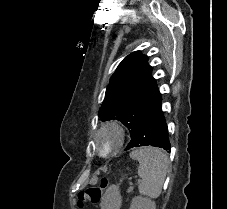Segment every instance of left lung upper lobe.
I'll use <instances>...</instances> for the list:
<instances>
[{"label":"left lung upper lobe","instance_id":"5c2ea615","mask_svg":"<svg viewBox=\"0 0 227 209\" xmlns=\"http://www.w3.org/2000/svg\"><path fill=\"white\" fill-rule=\"evenodd\" d=\"M147 61L148 57L140 54V51L122 60L110 79L98 113L102 121H121L130 132L129 144L141 118L161 96L152 77V67Z\"/></svg>","mask_w":227,"mask_h":209}]
</instances>
